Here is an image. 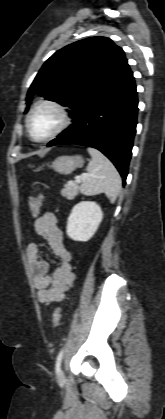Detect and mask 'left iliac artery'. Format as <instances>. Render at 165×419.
<instances>
[{"label": "left iliac artery", "mask_w": 165, "mask_h": 419, "mask_svg": "<svg viewBox=\"0 0 165 419\" xmlns=\"http://www.w3.org/2000/svg\"><path fill=\"white\" fill-rule=\"evenodd\" d=\"M63 354H64V349H62V350L59 352V354H58V356H57V358H56V364H55L56 373H58V372H59V370H60V365H61V361H62Z\"/></svg>", "instance_id": "1"}]
</instances>
